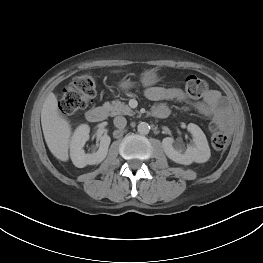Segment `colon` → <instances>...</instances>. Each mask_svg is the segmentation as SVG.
<instances>
[{"instance_id":"colon-1","label":"colon","mask_w":263,"mask_h":263,"mask_svg":"<svg viewBox=\"0 0 263 263\" xmlns=\"http://www.w3.org/2000/svg\"><path fill=\"white\" fill-rule=\"evenodd\" d=\"M186 94L194 99L202 97L206 90V82L194 75L188 76L184 82ZM96 95V81L90 75L75 77L62 92L59 109L63 115H72L85 108ZM211 143L216 150H223L229 144V136L216 123L211 125Z\"/></svg>"}]
</instances>
